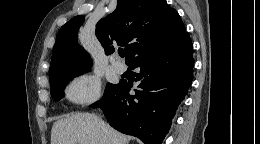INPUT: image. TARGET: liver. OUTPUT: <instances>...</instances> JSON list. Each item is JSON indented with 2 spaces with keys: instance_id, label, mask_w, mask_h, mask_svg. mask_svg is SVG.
<instances>
[{
  "instance_id": "1",
  "label": "liver",
  "mask_w": 260,
  "mask_h": 144,
  "mask_svg": "<svg viewBox=\"0 0 260 144\" xmlns=\"http://www.w3.org/2000/svg\"><path fill=\"white\" fill-rule=\"evenodd\" d=\"M129 140L89 113H75L60 119L51 130V144H128Z\"/></svg>"
}]
</instances>
